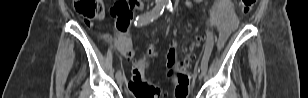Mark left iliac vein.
Wrapping results in <instances>:
<instances>
[{
  "instance_id": "4c4485c4",
  "label": "left iliac vein",
  "mask_w": 308,
  "mask_h": 98,
  "mask_svg": "<svg viewBox=\"0 0 308 98\" xmlns=\"http://www.w3.org/2000/svg\"><path fill=\"white\" fill-rule=\"evenodd\" d=\"M203 76H204V72H201V73H200V77H203Z\"/></svg>"
}]
</instances>
